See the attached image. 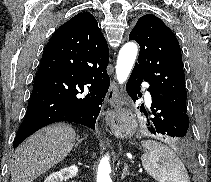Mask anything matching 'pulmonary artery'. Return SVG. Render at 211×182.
<instances>
[{"mask_svg":"<svg viewBox=\"0 0 211 182\" xmlns=\"http://www.w3.org/2000/svg\"><path fill=\"white\" fill-rule=\"evenodd\" d=\"M146 100L147 102H151V95L149 92L146 93Z\"/></svg>","mask_w":211,"mask_h":182,"instance_id":"obj_1","label":"pulmonary artery"}]
</instances>
